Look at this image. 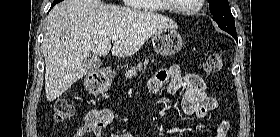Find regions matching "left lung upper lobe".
Listing matches in <instances>:
<instances>
[{
  "instance_id": "5c2ea615",
  "label": "left lung upper lobe",
  "mask_w": 280,
  "mask_h": 137,
  "mask_svg": "<svg viewBox=\"0 0 280 137\" xmlns=\"http://www.w3.org/2000/svg\"><path fill=\"white\" fill-rule=\"evenodd\" d=\"M209 9L213 16V20L218 24V26L231 34L236 36L235 22L233 15L231 13L228 0H208Z\"/></svg>"
}]
</instances>
